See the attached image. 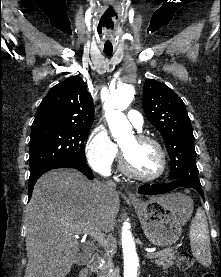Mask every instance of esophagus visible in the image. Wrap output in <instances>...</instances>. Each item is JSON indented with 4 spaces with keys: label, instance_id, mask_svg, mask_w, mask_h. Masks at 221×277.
Returning <instances> with one entry per match:
<instances>
[{
    "label": "esophagus",
    "instance_id": "obj_1",
    "mask_svg": "<svg viewBox=\"0 0 221 277\" xmlns=\"http://www.w3.org/2000/svg\"><path fill=\"white\" fill-rule=\"evenodd\" d=\"M126 194H127L129 199L137 200V197L134 193L127 191Z\"/></svg>",
    "mask_w": 221,
    "mask_h": 277
}]
</instances>
